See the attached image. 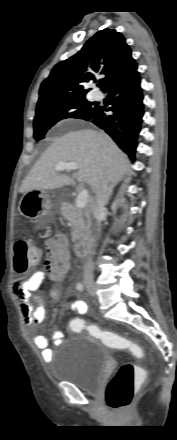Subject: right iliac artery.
Instances as JSON below:
<instances>
[{"instance_id":"82829eb1","label":"right iliac artery","mask_w":177,"mask_h":440,"mask_svg":"<svg viewBox=\"0 0 177 440\" xmlns=\"http://www.w3.org/2000/svg\"><path fill=\"white\" fill-rule=\"evenodd\" d=\"M76 288H77L79 291H82V290H83V285H82L81 283H78Z\"/></svg>"}]
</instances>
